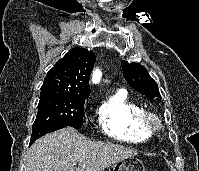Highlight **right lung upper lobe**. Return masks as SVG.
Here are the masks:
<instances>
[{
  "label": "right lung upper lobe",
  "mask_w": 199,
  "mask_h": 171,
  "mask_svg": "<svg viewBox=\"0 0 199 171\" xmlns=\"http://www.w3.org/2000/svg\"><path fill=\"white\" fill-rule=\"evenodd\" d=\"M95 63V54L84 48H73L47 73L41 87L76 97L90 95L89 76Z\"/></svg>",
  "instance_id": "right-lung-upper-lobe-1"
}]
</instances>
